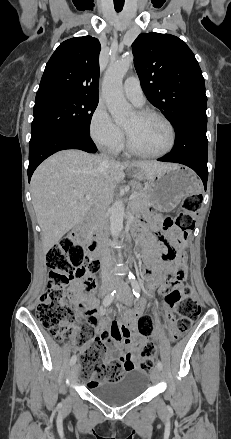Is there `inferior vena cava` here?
<instances>
[{
  "mask_svg": "<svg viewBox=\"0 0 231 439\" xmlns=\"http://www.w3.org/2000/svg\"><path fill=\"white\" fill-rule=\"evenodd\" d=\"M104 160L108 161L106 155H104ZM106 208H107L106 198L104 196H100L94 204L93 215L95 218L96 225L102 230H105L106 228V214H105ZM103 236H104L103 243L100 245L101 259L108 266H111L113 264V259L110 253V249L106 243L105 231L103 233ZM103 278L112 279L113 277L110 273H105L103 275Z\"/></svg>",
  "mask_w": 231,
  "mask_h": 439,
  "instance_id": "602c4592",
  "label": "inferior vena cava"
}]
</instances>
